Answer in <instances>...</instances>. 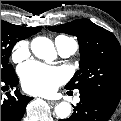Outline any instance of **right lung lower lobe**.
Returning a JSON list of instances; mask_svg holds the SVG:
<instances>
[{
	"mask_svg": "<svg viewBox=\"0 0 121 121\" xmlns=\"http://www.w3.org/2000/svg\"><path fill=\"white\" fill-rule=\"evenodd\" d=\"M1 82L11 88L18 85L19 80L15 71L1 78ZM33 98L24 96L19 90L15 91V96L7 94V98L1 96V121H20L24 115L27 104Z\"/></svg>",
	"mask_w": 121,
	"mask_h": 121,
	"instance_id": "right-lung-lower-lobe-1",
	"label": "right lung lower lobe"
}]
</instances>
